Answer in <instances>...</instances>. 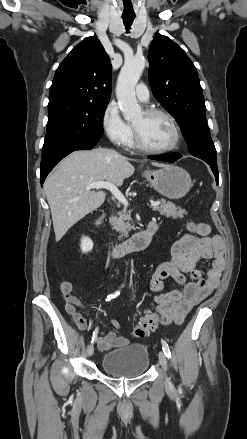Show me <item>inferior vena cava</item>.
Here are the masks:
<instances>
[{
    "label": "inferior vena cava",
    "instance_id": "obj_1",
    "mask_svg": "<svg viewBox=\"0 0 247 439\" xmlns=\"http://www.w3.org/2000/svg\"><path fill=\"white\" fill-rule=\"evenodd\" d=\"M110 221L113 222V218H111Z\"/></svg>",
    "mask_w": 247,
    "mask_h": 439
}]
</instances>
